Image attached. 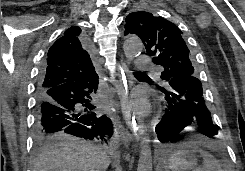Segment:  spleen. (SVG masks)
Here are the masks:
<instances>
[{
	"label": "spleen",
	"instance_id": "3e777b00",
	"mask_svg": "<svg viewBox=\"0 0 245 171\" xmlns=\"http://www.w3.org/2000/svg\"><path fill=\"white\" fill-rule=\"evenodd\" d=\"M203 164L195 171H224L220 163L210 154L202 153Z\"/></svg>",
	"mask_w": 245,
	"mask_h": 171
}]
</instances>
